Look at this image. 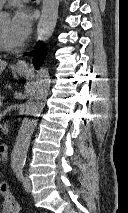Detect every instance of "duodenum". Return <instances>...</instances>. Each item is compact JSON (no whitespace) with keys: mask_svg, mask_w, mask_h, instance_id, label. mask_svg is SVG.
<instances>
[{"mask_svg":"<svg viewBox=\"0 0 128 213\" xmlns=\"http://www.w3.org/2000/svg\"><path fill=\"white\" fill-rule=\"evenodd\" d=\"M9 147L5 143H0V159L6 160L8 158Z\"/></svg>","mask_w":128,"mask_h":213,"instance_id":"obj_1","label":"duodenum"}]
</instances>
